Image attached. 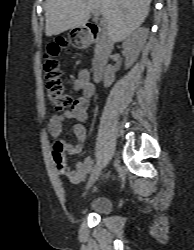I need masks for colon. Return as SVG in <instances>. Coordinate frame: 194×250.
<instances>
[{"mask_svg": "<svg viewBox=\"0 0 194 250\" xmlns=\"http://www.w3.org/2000/svg\"><path fill=\"white\" fill-rule=\"evenodd\" d=\"M68 47L69 42L67 40H60L49 45L44 52L43 70L46 97L58 111L72 109L76 105V100L66 90L57 58L60 50ZM58 157L64 158L62 153H58ZM62 171L66 172L67 167L63 166Z\"/></svg>", "mask_w": 194, "mask_h": 250, "instance_id": "colon-1", "label": "colon"}]
</instances>
